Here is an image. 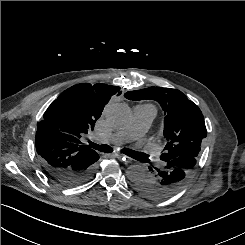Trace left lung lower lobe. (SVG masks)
Returning <instances> with one entry per match:
<instances>
[{
	"mask_svg": "<svg viewBox=\"0 0 245 245\" xmlns=\"http://www.w3.org/2000/svg\"><path fill=\"white\" fill-rule=\"evenodd\" d=\"M197 158L181 156L164 162L161 169L153 170L151 174L135 182V188L143 195L154 200L168 198L186 184L196 165Z\"/></svg>",
	"mask_w": 245,
	"mask_h": 245,
	"instance_id": "left-lung-lower-lobe-1",
	"label": "left lung lower lobe"
}]
</instances>
